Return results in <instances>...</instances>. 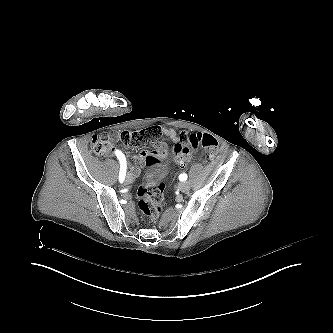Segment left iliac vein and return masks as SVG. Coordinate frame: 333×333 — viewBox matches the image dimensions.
Masks as SVG:
<instances>
[{"label": "left iliac vein", "mask_w": 333, "mask_h": 333, "mask_svg": "<svg viewBox=\"0 0 333 333\" xmlns=\"http://www.w3.org/2000/svg\"><path fill=\"white\" fill-rule=\"evenodd\" d=\"M178 188L181 192L186 193L190 189V184L188 182H180Z\"/></svg>", "instance_id": "4c4485c4"}]
</instances>
